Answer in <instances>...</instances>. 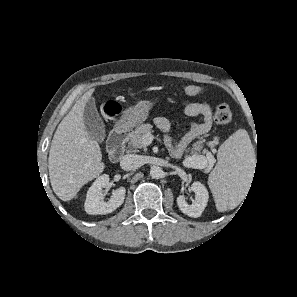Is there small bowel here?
Segmentation results:
<instances>
[{
    "label": "small bowel",
    "mask_w": 297,
    "mask_h": 297,
    "mask_svg": "<svg viewBox=\"0 0 297 297\" xmlns=\"http://www.w3.org/2000/svg\"><path fill=\"white\" fill-rule=\"evenodd\" d=\"M183 111L187 116L200 117L199 122H191L187 132L175 140L170 135L165 138V146L173 158H180L185 149L198 137L206 134L212 127V109L205 101L184 102ZM155 125L164 132L171 130V122L162 116L154 118Z\"/></svg>",
    "instance_id": "small-bowel-1"
}]
</instances>
